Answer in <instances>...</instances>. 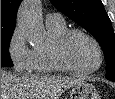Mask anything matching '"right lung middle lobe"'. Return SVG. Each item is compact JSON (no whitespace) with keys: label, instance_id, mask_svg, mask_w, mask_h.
Masks as SVG:
<instances>
[{"label":"right lung middle lobe","instance_id":"obj_1","mask_svg":"<svg viewBox=\"0 0 115 99\" xmlns=\"http://www.w3.org/2000/svg\"><path fill=\"white\" fill-rule=\"evenodd\" d=\"M14 30H1V67H11L13 62L9 54V45Z\"/></svg>","mask_w":115,"mask_h":99}]
</instances>
